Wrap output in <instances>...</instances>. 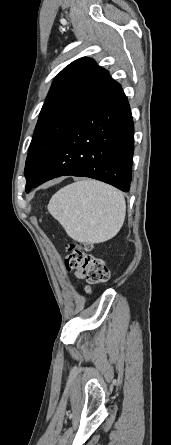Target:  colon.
I'll list each match as a JSON object with an SVG mask.
<instances>
[{
  "label": "colon",
  "instance_id": "1",
  "mask_svg": "<svg viewBox=\"0 0 171 445\" xmlns=\"http://www.w3.org/2000/svg\"><path fill=\"white\" fill-rule=\"evenodd\" d=\"M91 244H72L68 246L64 264L68 271L81 272L86 279V291L91 292L94 286L109 279V270L104 261L95 257Z\"/></svg>",
  "mask_w": 171,
  "mask_h": 445
}]
</instances>
